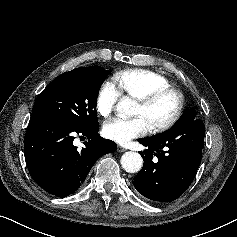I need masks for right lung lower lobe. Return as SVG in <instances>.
I'll return each instance as SVG.
<instances>
[{
    "mask_svg": "<svg viewBox=\"0 0 237 237\" xmlns=\"http://www.w3.org/2000/svg\"><path fill=\"white\" fill-rule=\"evenodd\" d=\"M98 130L99 123L77 127L57 119L31 116L24 138V154L34 181L58 197L75 192L94 163L117 148L114 142L101 138ZM76 134L88 138L81 150L73 144Z\"/></svg>",
    "mask_w": 237,
    "mask_h": 237,
    "instance_id": "98d812e1",
    "label": "right lung lower lobe"
}]
</instances>
